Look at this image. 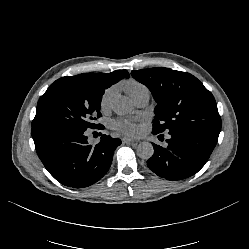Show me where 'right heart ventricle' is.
Instances as JSON below:
<instances>
[{
    "label": "right heart ventricle",
    "instance_id": "1",
    "mask_svg": "<svg viewBox=\"0 0 249 249\" xmlns=\"http://www.w3.org/2000/svg\"><path fill=\"white\" fill-rule=\"evenodd\" d=\"M123 86L133 100L142 94H150L148 87L136 79L125 80Z\"/></svg>",
    "mask_w": 249,
    "mask_h": 249
}]
</instances>
